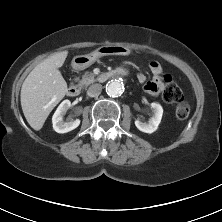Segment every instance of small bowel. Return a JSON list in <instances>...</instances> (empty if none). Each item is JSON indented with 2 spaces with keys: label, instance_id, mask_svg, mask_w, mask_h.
Returning a JSON list of instances; mask_svg holds the SVG:
<instances>
[{
  "label": "small bowel",
  "instance_id": "1",
  "mask_svg": "<svg viewBox=\"0 0 222 222\" xmlns=\"http://www.w3.org/2000/svg\"><path fill=\"white\" fill-rule=\"evenodd\" d=\"M149 67L153 74V78L150 81H146V76L144 74H139L138 81L140 83H144V89L147 93L151 95H157L164 88V84L161 77L162 67L156 61L151 62Z\"/></svg>",
  "mask_w": 222,
  "mask_h": 222
}]
</instances>
